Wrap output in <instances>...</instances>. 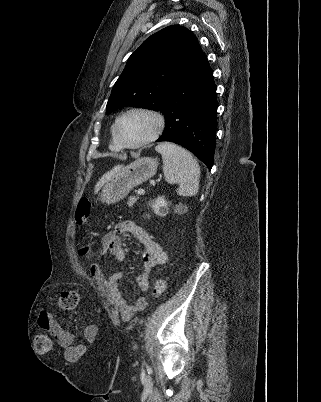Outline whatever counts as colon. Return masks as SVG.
<instances>
[{
  "instance_id": "1",
  "label": "colon",
  "mask_w": 321,
  "mask_h": 402,
  "mask_svg": "<svg viewBox=\"0 0 321 402\" xmlns=\"http://www.w3.org/2000/svg\"><path fill=\"white\" fill-rule=\"evenodd\" d=\"M92 203L87 198L79 200L75 211V223L77 226L84 225L91 213ZM77 254L84 259V265L88 266L94 256V248L91 244H82ZM166 281L163 278H158L153 284V294L160 296L165 292ZM79 303V293L75 289L65 290L59 296L58 305L64 311H70L77 307ZM35 347L39 352H48L52 348V338L46 332H39L35 335Z\"/></svg>"
}]
</instances>
